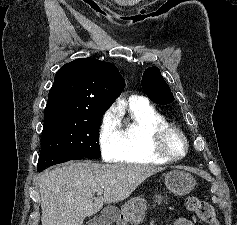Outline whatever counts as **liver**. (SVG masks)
Instances as JSON below:
<instances>
[{"mask_svg": "<svg viewBox=\"0 0 237 225\" xmlns=\"http://www.w3.org/2000/svg\"><path fill=\"white\" fill-rule=\"evenodd\" d=\"M163 168L148 165L67 162L45 172L39 182L42 225H83L104 203L120 202ZM103 189V197L95 194Z\"/></svg>", "mask_w": 237, "mask_h": 225, "instance_id": "1", "label": "liver"}]
</instances>
